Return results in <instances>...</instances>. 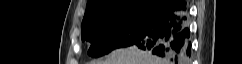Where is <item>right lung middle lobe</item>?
<instances>
[{"label":"right lung middle lobe","mask_w":242,"mask_h":64,"mask_svg":"<svg viewBox=\"0 0 242 64\" xmlns=\"http://www.w3.org/2000/svg\"><path fill=\"white\" fill-rule=\"evenodd\" d=\"M161 18V13L133 9L97 17L82 24V41L92 45L88 54L100 57L139 41Z\"/></svg>","instance_id":"1"}]
</instances>
